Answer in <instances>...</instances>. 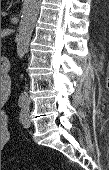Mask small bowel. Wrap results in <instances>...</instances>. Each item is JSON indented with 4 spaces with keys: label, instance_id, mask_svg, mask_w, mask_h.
Returning a JSON list of instances; mask_svg holds the SVG:
<instances>
[{
    "label": "small bowel",
    "instance_id": "c3829d8e",
    "mask_svg": "<svg viewBox=\"0 0 109 170\" xmlns=\"http://www.w3.org/2000/svg\"><path fill=\"white\" fill-rule=\"evenodd\" d=\"M9 95V90L3 91L1 95V101L5 102ZM9 140V130H8V122L7 115L2 112L1 113V146H4Z\"/></svg>",
    "mask_w": 109,
    "mask_h": 170
}]
</instances>
